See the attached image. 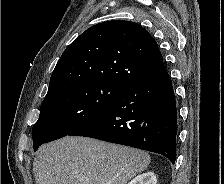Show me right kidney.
<instances>
[{
    "mask_svg": "<svg viewBox=\"0 0 224 184\" xmlns=\"http://www.w3.org/2000/svg\"><path fill=\"white\" fill-rule=\"evenodd\" d=\"M128 184H157V179L153 172H146L138 175Z\"/></svg>",
    "mask_w": 224,
    "mask_h": 184,
    "instance_id": "ca27d5eb",
    "label": "right kidney"
}]
</instances>
